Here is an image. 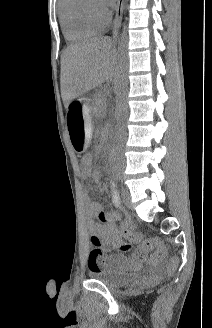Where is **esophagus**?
<instances>
[{"label":"esophagus","instance_id":"34e87169","mask_svg":"<svg viewBox=\"0 0 212 328\" xmlns=\"http://www.w3.org/2000/svg\"><path fill=\"white\" fill-rule=\"evenodd\" d=\"M124 7V0H118L117 9H116V16L113 22V30H112V38L116 39L118 36V32L121 26L122 20V13Z\"/></svg>","mask_w":212,"mask_h":328}]
</instances>
